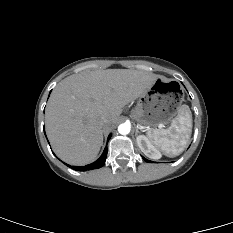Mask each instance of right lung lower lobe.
Wrapping results in <instances>:
<instances>
[{"label":"right lung lower lobe","mask_w":233,"mask_h":233,"mask_svg":"<svg viewBox=\"0 0 233 233\" xmlns=\"http://www.w3.org/2000/svg\"><path fill=\"white\" fill-rule=\"evenodd\" d=\"M44 133H45V130H44ZM110 138H111V134L108 136V140ZM106 157H107V147L104 149L103 154L101 155V157L92 164L82 166V167L70 166V165H67V164L66 165L68 167L72 168L73 170H76V171H78V170L79 171H87V170H92V169H97V168L102 167L105 164Z\"/></svg>","instance_id":"obj_1"}]
</instances>
